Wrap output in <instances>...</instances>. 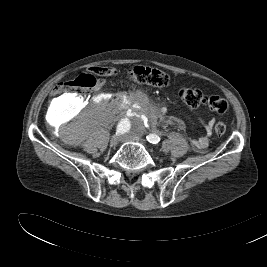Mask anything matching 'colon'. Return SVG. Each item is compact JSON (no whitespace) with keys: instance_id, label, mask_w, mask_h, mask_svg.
Instances as JSON below:
<instances>
[{"instance_id":"obj_1","label":"colon","mask_w":267,"mask_h":267,"mask_svg":"<svg viewBox=\"0 0 267 267\" xmlns=\"http://www.w3.org/2000/svg\"><path fill=\"white\" fill-rule=\"evenodd\" d=\"M115 73L116 70L112 67H93L89 72L81 73L72 80L56 84L51 95L53 98L63 95H72L74 99L84 97L97 86V76L109 77ZM127 76L135 83L152 87H166L170 83V77L166 72L149 66H135L127 71ZM179 95L190 108L203 106L218 114H224L228 110L227 100L218 95H206L195 88H183ZM214 130L216 134L223 135L226 132V125L223 122H217Z\"/></svg>"}]
</instances>
